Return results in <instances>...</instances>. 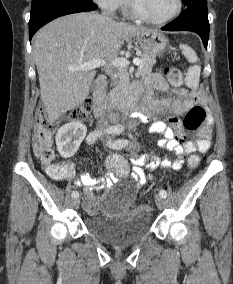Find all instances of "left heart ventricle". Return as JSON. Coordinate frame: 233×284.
<instances>
[{
	"label": "left heart ventricle",
	"mask_w": 233,
	"mask_h": 284,
	"mask_svg": "<svg viewBox=\"0 0 233 284\" xmlns=\"http://www.w3.org/2000/svg\"><path fill=\"white\" fill-rule=\"evenodd\" d=\"M138 9L146 16L161 19L169 15L174 7L175 0H135Z\"/></svg>",
	"instance_id": "1"
}]
</instances>
